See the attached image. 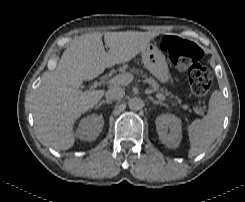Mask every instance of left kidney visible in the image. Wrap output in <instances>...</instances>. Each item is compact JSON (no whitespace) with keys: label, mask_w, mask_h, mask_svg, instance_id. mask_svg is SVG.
<instances>
[{"label":"left kidney","mask_w":245,"mask_h":202,"mask_svg":"<svg viewBox=\"0 0 245 202\" xmlns=\"http://www.w3.org/2000/svg\"><path fill=\"white\" fill-rule=\"evenodd\" d=\"M155 123L160 141L168 148H177L182 139V121L175 115L162 114Z\"/></svg>","instance_id":"obj_1"}]
</instances>
